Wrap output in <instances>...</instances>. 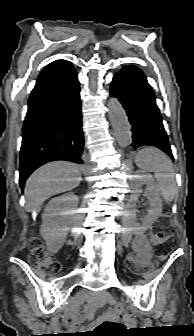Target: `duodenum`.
<instances>
[{"instance_id":"1","label":"duodenum","mask_w":194,"mask_h":336,"mask_svg":"<svg viewBox=\"0 0 194 336\" xmlns=\"http://www.w3.org/2000/svg\"><path fill=\"white\" fill-rule=\"evenodd\" d=\"M99 302H100V300H98ZM98 301H96L95 299H92L91 300V303H92V305H97L98 304Z\"/></svg>"}]
</instances>
